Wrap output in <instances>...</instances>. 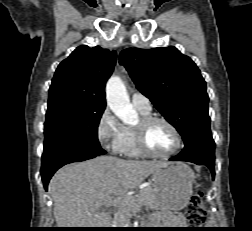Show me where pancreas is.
<instances>
[{"mask_svg":"<svg viewBox=\"0 0 252 231\" xmlns=\"http://www.w3.org/2000/svg\"><path fill=\"white\" fill-rule=\"evenodd\" d=\"M131 201L120 208L115 216V223L118 227H127L130 223L131 212L136 205H145L154 208V193L152 187L140 190L136 195L131 196Z\"/></svg>","mask_w":252,"mask_h":231,"instance_id":"cf45deb5","label":"pancreas"}]
</instances>
